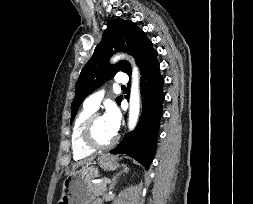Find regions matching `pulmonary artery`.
I'll return each mask as SVG.
<instances>
[{
    "label": "pulmonary artery",
    "instance_id": "e3ab8cb5",
    "mask_svg": "<svg viewBox=\"0 0 253 204\" xmlns=\"http://www.w3.org/2000/svg\"><path fill=\"white\" fill-rule=\"evenodd\" d=\"M129 79L126 73H118L115 76L114 83L119 86H125ZM105 94L104 89H100L90 94L84 101V106L97 110L100 102L102 101Z\"/></svg>",
    "mask_w": 253,
    "mask_h": 204
}]
</instances>
